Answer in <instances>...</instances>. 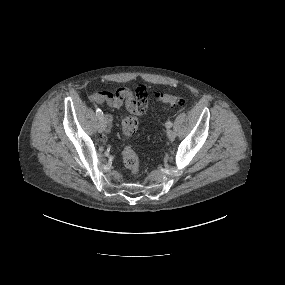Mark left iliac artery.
Wrapping results in <instances>:
<instances>
[{
	"instance_id": "left-iliac-artery-1",
	"label": "left iliac artery",
	"mask_w": 285,
	"mask_h": 285,
	"mask_svg": "<svg viewBox=\"0 0 285 285\" xmlns=\"http://www.w3.org/2000/svg\"><path fill=\"white\" fill-rule=\"evenodd\" d=\"M165 126H166L167 128H171V127H172V122L167 121L166 124H165Z\"/></svg>"
}]
</instances>
